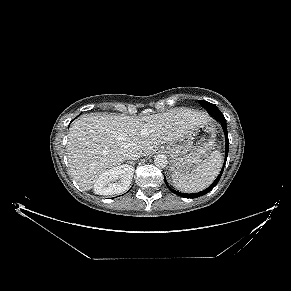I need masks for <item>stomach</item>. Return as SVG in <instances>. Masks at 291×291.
Listing matches in <instances>:
<instances>
[{
  "instance_id": "0dacf381",
  "label": "stomach",
  "mask_w": 291,
  "mask_h": 291,
  "mask_svg": "<svg viewBox=\"0 0 291 291\" xmlns=\"http://www.w3.org/2000/svg\"><path fill=\"white\" fill-rule=\"evenodd\" d=\"M216 129L212 122L202 123L179 141L167 144L172 176L186 175L214 147Z\"/></svg>"
}]
</instances>
